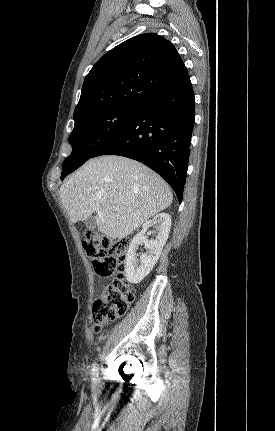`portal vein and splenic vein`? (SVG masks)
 <instances>
[{"instance_id":"obj_1","label":"portal vein and splenic vein","mask_w":275,"mask_h":431,"mask_svg":"<svg viewBox=\"0 0 275 431\" xmlns=\"http://www.w3.org/2000/svg\"><path fill=\"white\" fill-rule=\"evenodd\" d=\"M111 210L115 211V210H116V207H111Z\"/></svg>"}]
</instances>
